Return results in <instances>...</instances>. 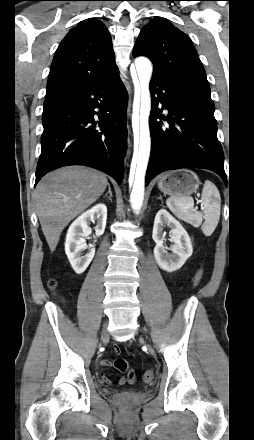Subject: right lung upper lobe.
I'll return each instance as SVG.
<instances>
[{"mask_svg":"<svg viewBox=\"0 0 254 440\" xmlns=\"http://www.w3.org/2000/svg\"><path fill=\"white\" fill-rule=\"evenodd\" d=\"M119 77L110 33L97 19L77 24L57 48L47 94L81 82Z\"/></svg>","mask_w":254,"mask_h":440,"instance_id":"right-lung-upper-lobe-1","label":"right lung upper lobe"}]
</instances>
